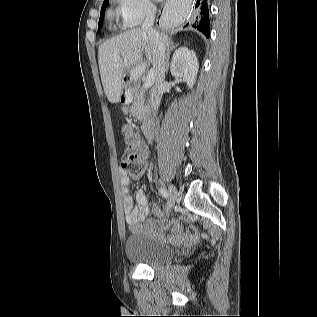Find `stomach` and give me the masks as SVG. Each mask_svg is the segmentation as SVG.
I'll return each mask as SVG.
<instances>
[{
  "label": "stomach",
  "mask_w": 317,
  "mask_h": 317,
  "mask_svg": "<svg viewBox=\"0 0 317 317\" xmlns=\"http://www.w3.org/2000/svg\"><path fill=\"white\" fill-rule=\"evenodd\" d=\"M130 72V74H129ZM129 72H122V81L120 82V87L122 88L123 94H130V92L135 87V83H139V76L136 74H145V67H130ZM125 99L122 96L121 102Z\"/></svg>",
  "instance_id": "obj_1"
}]
</instances>
